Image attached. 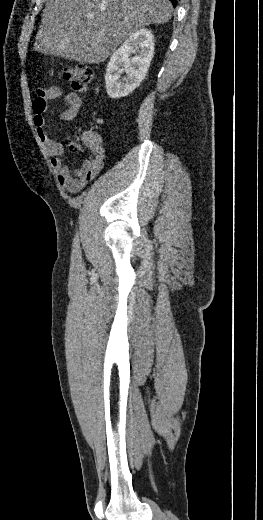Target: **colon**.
I'll use <instances>...</instances> for the list:
<instances>
[{
	"label": "colon",
	"instance_id": "5ec220e1",
	"mask_svg": "<svg viewBox=\"0 0 263 520\" xmlns=\"http://www.w3.org/2000/svg\"><path fill=\"white\" fill-rule=\"evenodd\" d=\"M62 72L64 79L69 83L71 88L74 91L81 93L88 89V86L93 78V73L90 67L82 64L66 66L63 68ZM66 144L73 151H78L81 149V144L73 140H67Z\"/></svg>",
	"mask_w": 263,
	"mask_h": 520
}]
</instances>
